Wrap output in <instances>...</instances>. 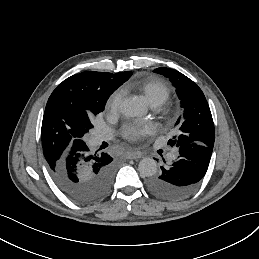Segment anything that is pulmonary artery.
I'll return each instance as SVG.
<instances>
[{
  "label": "pulmonary artery",
  "instance_id": "1",
  "mask_svg": "<svg viewBox=\"0 0 259 259\" xmlns=\"http://www.w3.org/2000/svg\"><path fill=\"white\" fill-rule=\"evenodd\" d=\"M97 140L100 139V137H96ZM177 156V152H172V153H169L168 156H167V159L169 162L173 161Z\"/></svg>",
  "mask_w": 259,
  "mask_h": 259
}]
</instances>
